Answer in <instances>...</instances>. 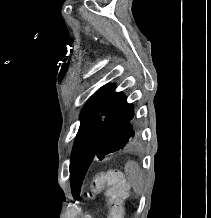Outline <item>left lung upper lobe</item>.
<instances>
[{
    "label": "left lung upper lobe",
    "mask_w": 211,
    "mask_h": 218,
    "mask_svg": "<svg viewBox=\"0 0 211 218\" xmlns=\"http://www.w3.org/2000/svg\"><path fill=\"white\" fill-rule=\"evenodd\" d=\"M115 84L98 89L82 109L81 125L72 150L70 163L71 191L78 198L82 182L94 157L118 151L135 137L137 116L134 106Z\"/></svg>",
    "instance_id": "1"
}]
</instances>
